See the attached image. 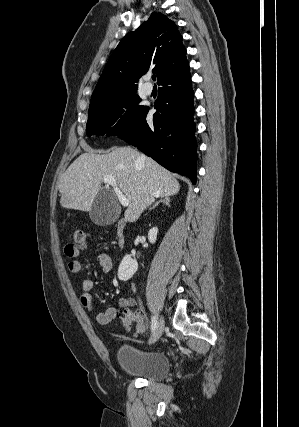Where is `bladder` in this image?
Masks as SVG:
<instances>
[{"instance_id": "31cf9c89", "label": "bladder", "mask_w": 299, "mask_h": 427, "mask_svg": "<svg viewBox=\"0 0 299 427\" xmlns=\"http://www.w3.org/2000/svg\"><path fill=\"white\" fill-rule=\"evenodd\" d=\"M117 357L124 373L130 376L158 381L170 371V361L165 354L142 352L129 344L119 346Z\"/></svg>"}]
</instances>
